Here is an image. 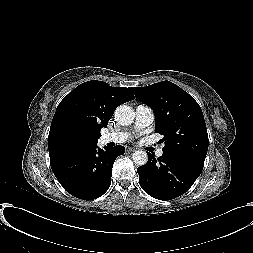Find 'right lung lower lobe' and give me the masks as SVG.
<instances>
[{
	"label": "right lung lower lobe",
	"instance_id": "obj_1",
	"mask_svg": "<svg viewBox=\"0 0 253 253\" xmlns=\"http://www.w3.org/2000/svg\"><path fill=\"white\" fill-rule=\"evenodd\" d=\"M105 150L97 146L79 150L51 161V168L71 195L92 200L102 196L110 187L115 159L125 152L124 146L116 145Z\"/></svg>",
	"mask_w": 253,
	"mask_h": 253
}]
</instances>
